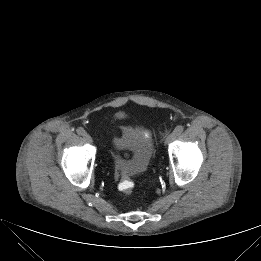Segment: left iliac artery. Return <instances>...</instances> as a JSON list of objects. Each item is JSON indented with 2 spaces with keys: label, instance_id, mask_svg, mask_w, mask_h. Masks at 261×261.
<instances>
[{
  "label": "left iliac artery",
  "instance_id": "left-iliac-artery-1",
  "mask_svg": "<svg viewBox=\"0 0 261 261\" xmlns=\"http://www.w3.org/2000/svg\"><path fill=\"white\" fill-rule=\"evenodd\" d=\"M184 130V126L182 125H178L175 129H174V132L177 134V135H180Z\"/></svg>",
  "mask_w": 261,
  "mask_h": 261
}]
</instances>
